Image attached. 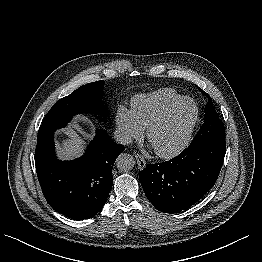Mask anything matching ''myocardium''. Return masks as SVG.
<instances>
[{"instance_id":"obj_1","label":"myocardium","mask_w":262,"mask_h":262,"mask_svg":"<svg viewBox=\"0 0 262 262\" xmlns=\"http://www.w3.org/2000/svg\"><path fill=\"white\" fill-rule=\"evenodd\" d=\"M186 101H190L194 104V107H195L194 116L186 132L184 133L181 141L175 147L169 150H166V151H161V150H157L154 148L156 154L161 158H164V159L173 158L177 156L178 154H180L189 145L193 132L195 130V127L199 119V114H200L199 105L193 98L185 96L179 99L178 101L174 102L173 104H171L169 107H167L147 128V139L151 143L153 133L159 127H161L169 119V117L173 114V112Z\"/></svg>"}]
</instances>
